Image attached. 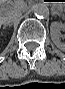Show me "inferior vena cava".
<instances>
[{
    "instance_id": "obj_1",
    "label": "inferior vena cava",
    "mask_w": 65,
    "mask_h": 89,
    "mask_svg": "<svg viewBox=\"0 0 65 89\" xmlns=\"http://www.w3.org/2000/svg\"><path fill=\"white\" fill-rule=\"evenodd\" d=\"M22 16V13H17L9 18H4V17H0V24L2 25H8V24H12L15 21L19 20Z\"/></svg>"
}]
</instances>
